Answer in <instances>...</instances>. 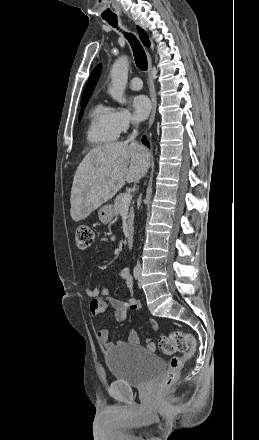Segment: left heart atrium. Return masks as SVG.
<instances>
[{
  "instance_id": "obj_1",
  "label": "left heart atrium",
  "mask_w": 259,
  "mask_h": 440,
  "mask_svg": "<svg viewBox=\"0 0 259 440\" xmlns=\"http://www.w3.org/2000/svg\"><path fill=\"white\" fill-rule=\"evenodd\" d=\"M133 107L138 118L145 119L148 116L152 105L146 95H137L133 99Z\"/></svg>"
}]
</instances>
